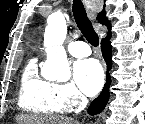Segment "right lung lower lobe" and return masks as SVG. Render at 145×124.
Returning <instances> with one entry per match:
<instances>
[{
  "label": "right lung lower lobe",
  "instance_id": "obj_1",
  "mask_svg": "<svg viewBox=\"0 0 145 124\" xmlns=\"http://www.w3.org/2000/svg\"><path fill=\"white\" fill-rule=\"evenodd\" d=\"M110 35L111 32H108V37L106 39H103L101 42V50H102L103 57L107 63V71L110 70L112 65L111 47L109 43ZM109 85H110V76L107 73V82L105 84V87L102 90L101 94L91 103L90 107L88 108L89 114L99 113L103 110L109 98V92H108Z\"/></svg>",
  "mask_w": 145,
  "mask_h": 124
}]
</instances>
